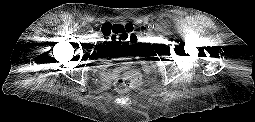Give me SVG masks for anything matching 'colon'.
<instances>
[{
	"mask_svg": "<svg viewBox=\"0 0 255 122\" xmlns=\"http://www.w3.org/2000/svg\"><path fill=\"white\" fill-rule=\"evenodd\" d=\"M105 36H122L126 40L135 37V29L131 24H109L102 27ZM140 81V73L136 68L127 67L122 71L121 76L115 82L117 91L124 93L136 87Z\"/></svg>",
	"mask_w": 255,
	"mask_h": 122,
	"instance_id": "1",
	"label": "colon"
}]
</instances>
